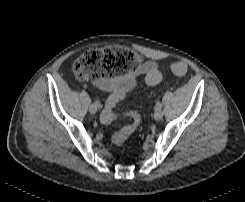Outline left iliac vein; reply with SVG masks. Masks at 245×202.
<instances>
[{
	"instance_id": "obj_1",
	"label": "left iliac vein",
	"mask_w": 245,
	"mask_h": 202,
	"mask_svg": "<svg viewBox=\"0 0 245 202\" xmlns=\"http://www.w3.org/2000/svg\"><path fill=\"white\" fill-rule=\"evenodd\" d=\"M155 120H161L163 118V111L161 109H156L154 113Z\"/></svg>"
}]
</instances>
